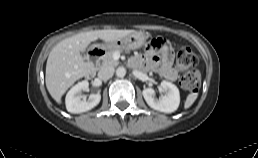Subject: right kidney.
<instances>
[{
  "instance_id": "obj_1",
  "label": "right kidney",
  "mask_w": 258,
  "mask_h": 158,
  "mask_svg": "<svg viewBox=\"0 0 258 158\" xmlns=\"http://www.w3.org/2000/svg\"><path fill=\"white\" fill-rule=\"evenodd\" d=\"M89 87L88 81L84 80L73 86L66 95V109L70 113H82L97 106L101 100L100 93L91 94L88 100H82L81 92Z\"/></svg>"
}]
</instances>
